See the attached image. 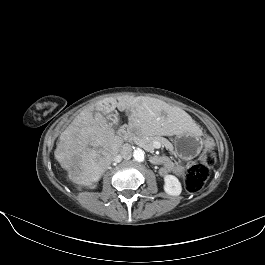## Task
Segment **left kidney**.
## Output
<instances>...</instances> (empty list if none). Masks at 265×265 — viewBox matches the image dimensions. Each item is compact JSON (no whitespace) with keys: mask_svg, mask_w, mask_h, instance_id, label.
I'll use <instances>...</instances> for the list:
<instances>
[{"mask_svg":"<svg viewBox=\"0 0 265 265\" xmlns=\"http://www.w3.org/2000/svg\"><path fill=\"white\" fill-rule=\"evenodd\" d=\"M164 191L172 196H179L182 192L181 183L178 178L173 175L164 177Z\"/></svg>","mask_w":265,"mask_h":265,"instance_id":"1","label":"left kidney"}]
</instances>
